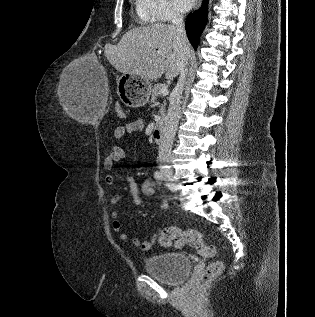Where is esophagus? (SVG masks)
Listing matches in <instances>:
<instances>
[{"label":"esophagus","mask_w":315,"mask_h":317,"mask_svg":"<svg viewBox=\"0 0 315 317\" xmlns=\"http://www.w3.org/2000/svg\"><path fill=\"white\" fill-rule=\"evenodd\" d=\"M202 0H197L196 9L200 7Z\"/></svg>","instance_id":"obj_1"}]
</instances>
